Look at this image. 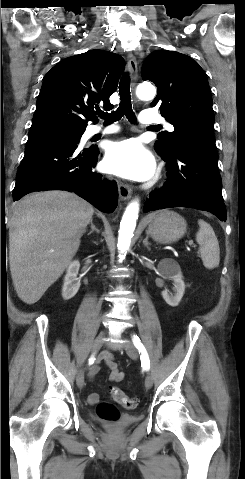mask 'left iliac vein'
<instances>
[{
  "label": "left iliac vein",
  "mask_w": 245,
  "mask_h": 479,
  "mask_svg": "<svg viewBox=\"0 0 245 479\" xmlns=\"http://www.w3.org/2000/svg\"><path fill=\"white\" fill-rule=\"evenodd\" d=\"M126 352H127L128 356L132 359H136L137 356H138V351H137L136 347L130 342L126 343ZM152 384H153L152 377L148 373L145 377V387L147 389H149V388H151Z\"/></svg>",
  "instance_id": "1"
}]
</instances>
